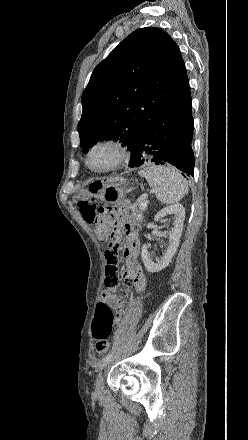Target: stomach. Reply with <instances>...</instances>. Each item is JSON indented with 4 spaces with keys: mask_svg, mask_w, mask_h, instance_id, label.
Segmentation results:
<instances>
[{
    "mask_svg": "<svg viewBox=\"0 0 248 440\" xmlns=\"http://www.w3.org/2000/svg\"><path fill=\"white\" fill-rule=\"evenodd\" d=\"M129 192L128 189L117 184L106 185L98 194V197L107 204H115L120 202ZM85 195H91L88 189L77 191L75 198L80 199Z\"/></svg>",
    "mask_w": 248,
    "mask_h": 440,
    "instance_id": "1",
    "label": "stomach"
}]
</instances>
